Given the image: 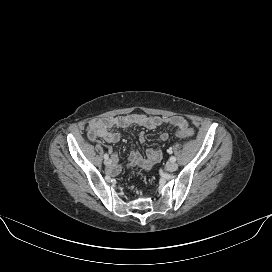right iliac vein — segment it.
Wrapping results in <instances>:
<instances>
[{"label":"right iliac vein","instance_id":"obj_1","mask_svg":"<svg viewBox=\"0 0 272 272\" xmlns=\"http://www.w3.org/2000/svg\"><path fill=\"white\" fill-rule=\"evenodd\" d=\"M104 164H105L106 166L111 165V160H109V159L105 160V161H104Z\"/></svg>","mask_w":272,"mask_h":272}]
</instances>
